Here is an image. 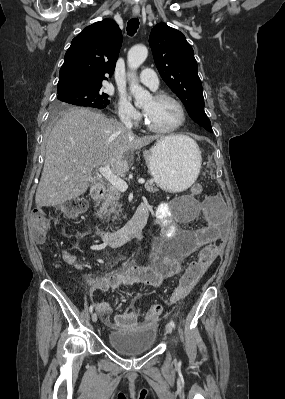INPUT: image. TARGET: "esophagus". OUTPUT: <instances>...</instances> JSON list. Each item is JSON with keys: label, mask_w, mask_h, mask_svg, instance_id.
<instances>
[{"label": "esophagus", "mask_w": 285, "mask_h": 399, "mask_svg": "<svg viewBox=\"0 0 285 399\" xmlns=\"http://www.w3.org/2000/svg\"><path fill=\"white\" fill-rule=\"evenodd\" d=\"M140 13V8L138 6L133 7V15L138 16Z\"/></svg>", "instance_id": "1"}]
</instances>
